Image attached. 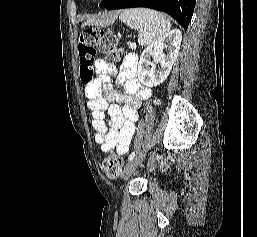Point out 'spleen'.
Listing matches in <instances>:
<instances>
[{
  "mask_svg": "<svg viewBox=\"0 0 257 237\" xmlns=\"http://www.w3.org/2000/svg\"><path fill=\"white\" fill-rule=\"evenodd\" d=\"M119 19L128 27L140 30L138 43L142 46L150 45L171 29V23L164 15L150 9H127Z\"/></svg>",
  "mask_w": 257,
  "mask_h": 237,
  "instance_id": "3e777b00",
  "label": "spleen"
}]
</instances>
